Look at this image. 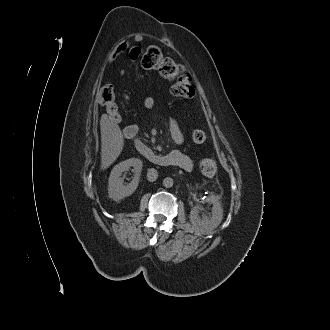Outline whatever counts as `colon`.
<instances>
[{
	"instance_id": "colon-1",
	"label": "colon",
	"mask_w": 330,
	"mask_h": 330,
	"mask_svg": "<svg viewBox=\"0 0 330 330\" xmlns=\"http://www.w3.org/2000/svg\"><path fill=\"white\" fill-rule=\"evenodd\" d=\"M141 66L146 70L157 72L162 78L172 81L171 93L181 98H191L195 94L192 84V77L185 71V68L164 56L161 49L157 46H149L141 57ZM100 103L106 108L107 112L115 120L120 119V113L115 102V91L111 85H104L98 93ZM190 139L196 144L206 141V135L201 130H193ZM200 172L212 177L217 171V164L214 159L202 158L198 164Z\"/></svg>"
}]
</instances>
